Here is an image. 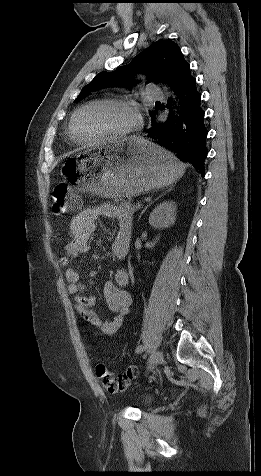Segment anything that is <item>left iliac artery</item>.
Returning <instances> with one entry per match:
<instances>
[{"instance_id": "44dca946", "label": "left iliac artery", "mask_w": 261, "mask_h": 476, "mask_svg": "<svg viewBox=\"0 0 261 476\" xmlns=\"http://www.w3.org/2000/svg\"><path fill=\"white\" fill-rule=\"evenodd\" d=\"M145 349H146L145 346L139 345V346L136 348V352H137V353H141V352H143Z\"/></svg>"}]
</instances>
